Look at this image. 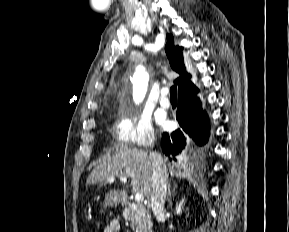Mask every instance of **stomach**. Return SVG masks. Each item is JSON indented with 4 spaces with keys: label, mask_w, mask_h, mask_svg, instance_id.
Masks as SVG:
<instances>
[{
    "label": "stomach",
    "mask_w": 289,
    "mask_h": 232,
    "mask_svg": "<svg viewBox=\"0 0 289 232\" xmlns=\"http://www.w3.org/2000/svg\"><path fill=\"white\" fill-rule=\"evenodd\" d=\"M120 201V196L116 192H110L105 199L106 207H113Z\"/></svg>",
    "instance_id": "stomach-1"
}]
</instances>
